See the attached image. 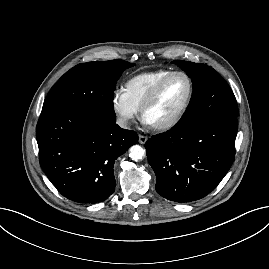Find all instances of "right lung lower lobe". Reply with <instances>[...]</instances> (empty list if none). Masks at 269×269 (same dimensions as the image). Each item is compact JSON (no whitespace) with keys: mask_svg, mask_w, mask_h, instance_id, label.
Returning <instances> with one entry per match:
<instances>
[{"mask_svg":"<svg viewBox=\"0 0 269 269\" xmlns=\"http://www.w3.org/2000/svg\"><path fill=\"white\" fill-rule=\"evenodd\" d=\"M36 137L46 176L80 204L103 202L114 192L115 160L138 142L136 132L115 122L69 110L41 114Z\"/></svg>","mask_w":269,"mask_h":269,"instance_id":"obj_1","label":"right lung lower lobe"}]
</instances>
